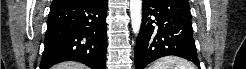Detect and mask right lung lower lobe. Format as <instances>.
<instances>
[{"label":"right lung lower lobe","instance_id":"obj_1","mask_svg":"<svg viewBox=\"0 0 246 69\" xmlns=\"http://www.w3.org/2000/svg\"><path fill=\"white\" fill-rule=\"evenodd\" d=\"M107 0L52 4L40 69L72 60L105 69Z\"/></svg>","mask_w":246,"mask_h":69}]
</instances>
